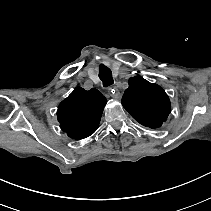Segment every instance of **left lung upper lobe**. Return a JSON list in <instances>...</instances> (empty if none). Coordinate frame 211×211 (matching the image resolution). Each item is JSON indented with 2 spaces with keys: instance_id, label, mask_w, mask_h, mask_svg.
Listing matches in <instances>:
<instances>
[{
  "instance_id": "left-lung-upper-lobe-1",
  "label": "left lung upper lobe",
  "mask_w": 211,
  "mask_h": 211,
  "mask_svg": "<svg viewBox=\"0 0 211 211\" xmlns=\"http://www.w3.org/2000/svg\"><path fill=\"white\" fill-rule=\"evenodd\" d=\"M122 105L136 121L150 128H159L171 111V103L164 89L141 76L129 79Z\"/></svg>"
}]
</instances>
